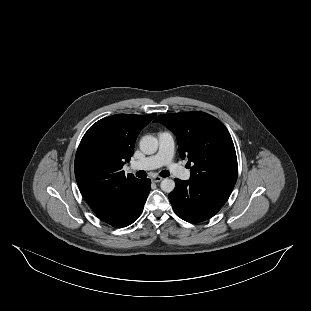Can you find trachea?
I'll use <instances>...</instances> for the list:
<instances>
[{
	"instance_id": "1",
	"label": "trachea",
	"mask_w": 311,
	"mask_h": 311,
	"mask_svg": "<svg viewBox=\"0 0 311 311\" xmlns=\"http://www.w3.org/2000/svg\"><path fill=\"white\" fill-rule=\"evenodd\" d=\"M136 176L139 178H146L147 177V173L143 170H140L136 173ZM160 176L161 177H168L169 176V171L168 170H163L160 172Z\"/></svg>"
}]
</instances>
